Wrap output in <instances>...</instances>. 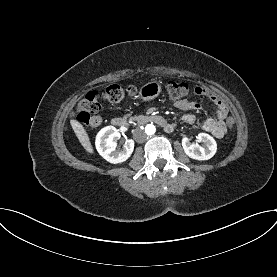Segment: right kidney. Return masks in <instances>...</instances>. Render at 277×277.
Returning <instances> with one entry per match:
<instances>
[{"label": "right kidney", "mask_w": 277, "mask_h": 277, "mask_svg": "<svg viewBox=\"0 0 277 277\" xmlns=\"http://www.w3.org/2000/svg\"><path fill=\"white\" fill-rule=\"evenodd\" d=\"M120 138L119 130L113 126L101 129L96 136V148L99 154L110 163L125 162L134 150V140H127L122 150L118 151L117 141Z\"/></svg>", "instance_id": "ca27d5eb"}]
</instances>
